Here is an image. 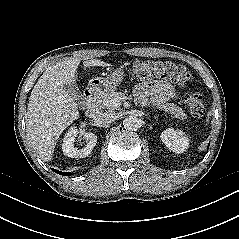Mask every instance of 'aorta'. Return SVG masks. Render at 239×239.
<instances>
[{
  "instance_id": "1",
  "label": "aorta",
  "mask_w": 239,
  "mask_h": 239,
  "mask_svg": "<svg viewBox=\"0 0 239 239\" xmlns=\"http://www.w3.org/2000/svg\"><path fill=\"white\" fill-rule=\"evenodd\" d=\"M123 126L126 130L136 131L141 127V120L135 116H128L124 119Z\"/></svg>"
}]
</instances>
